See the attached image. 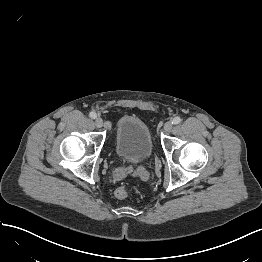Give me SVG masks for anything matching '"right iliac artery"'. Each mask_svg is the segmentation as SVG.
Segmentation results:
<instances>
[{
    "mask_svg": "<svg viewBox=\"0 0 262 262\" xmlns=\"http://www.w3.org/2000/svg\"><path fill=\"white\" fill-rule=\"evenodd\" d=\"M89 116L92 118V119H95L97 117V114L95 112H90Z\"/></svg>",
    "mask_w": 262,
    "mask_h": 262,
    "instance_id": "1",
    "label": "right iliac artery"
}]
</instances>
